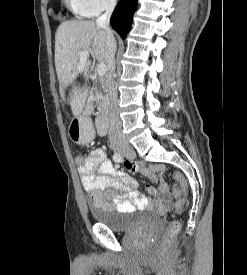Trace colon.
Masks as SVG:
<instances>
[{
	"instance_id": "1",
	"label": "colon",
	"mask_w": 247,
	"mask_h": 275,
	"mask_svg": "<svg viewBox=\"0 0 247 275\" xmlns=\"http://www.w3.org/2000/svg\"><path fill=\"white\" fill-rule=\"evenodd\" d=\"M77 161L82 162V157L80 155L77 156ZM125 165L129 170H132L135 168L136 163L126 162ZM172 177L179 184V186L173 188V195L176 198V209L180 212L186 204V195L188 191L187 181L183 175L178 172L173 173ZM180 229L181 223L178 220H173L168 224L161 237L162 248L167 249L173 243L174 239L180 232Z\"/></svg>"
}]
</instances>
